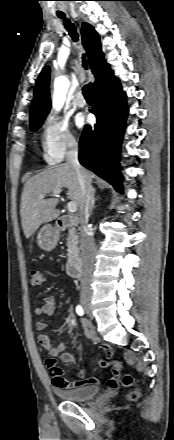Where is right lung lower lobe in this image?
I'll use <instances>...</instances> for the list:
<instances>
[{"label":"right lung lower lobe","mask_w":174,"mask_h":440,"mask_svg":"<svg viewBox=\"0 0 174 440\" xmlns=\"http://www.w3.org/2000/svg\"><path fill=\"white\" fill-rule=\"evenodd\" d=\"M108 69L102 81L94 87L95 105L90 110L97 123L87 125L79 142V161L87 169L122 192L119 173L120 144L126 126L128 108L126 94L119 80L110 78Z\"/></svg>","instance_id":"1"}]
</instances>
